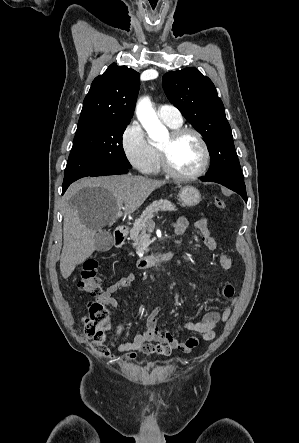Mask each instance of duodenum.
<instances>
[{"label": "duodenum", "mask_w": 299, "mask_h": 443, "mask_svg": "<svg viewBox=\"0 0 299 443\" xmlns=\"http://www.w3.org/2000/svg\"><path fill=\"white\" fill-rule=\"evenodd\" d=\"M114 238V246L115 247H121L125 243L126 239V227L124 225L118 226L113 233ZM175 256V253L173 251H169L163 255L164 259H172ZM153 263H155V260L151 257H138L136 260V267L138 269H146L149 266H151Z\"/></svg>", "instance_id": "1"}]
</instances>
